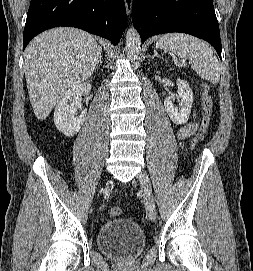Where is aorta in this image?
Masks as SVG:
<instances>
[{
	"label": "aorta",
	"mask_w": 253,
	"mask_h": 271,
	"mask_svg": "<svg viewBox=\"0 0 253 271\" xmlns=\"http://www.w3.org/2000/svg\"><path fill=\"white\" fill-rule=\"evenodd\" d=\"M141 51L140 35L134 27L128 29L126 33V52L130 59L137 60Z\"/></svg>",
	"instance_id": "obj_1"
}]
</instances>
